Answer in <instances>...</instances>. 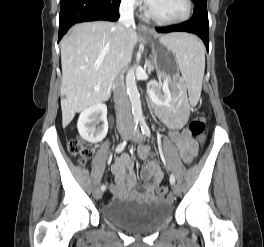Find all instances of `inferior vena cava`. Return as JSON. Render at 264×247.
Instances as JSON below:
<instances>
[{
	"mask_svg": "<svg viewBox=\"0 0 264 247\" xmlns=\"http://www.w3.org/2000/svg\"><path fill=\"white\" fill-rule=\"evenodd\" d=\"M119 13L121 25L126 29H129L134 24V0H122ZM121 72L122 71L119 69L113 85L117 126L119 128L130 126L132 124L131 106Z\"/></svg>",
	"mask_w": 264,
	"mask_h": 247,
	"instance_id": "inferior-vena-cava-1",
	"label": "inferior vena cava"
}]
</instances>
